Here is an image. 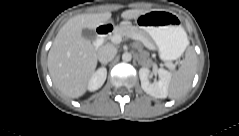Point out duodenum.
<instances>
[{"label": "duodenum", "instance_id": "410a0bca", "mask_svg": "<svg viewBox=\"0 0 239 136\" xmlns=\"http://www.w3.org/2000/svg\"><path fill=\"white\" fill-rule=\"evenodd\" d=\"M113 31H114L113 23H107L105 25L99 26L96 30L97 37L94 41V46L96 48L100 47L105 38Z\"/></svg>", "mask_w": 239, "mask_h": 136}]
</instances>
